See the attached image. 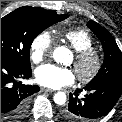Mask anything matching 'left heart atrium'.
<instances>
[{"instance_id":"left-heart-atrium-1","label":"left heart atrium","mask_w":122,"mask_h":122,"mask_svg":"<svg viewBox=\"0 0 122 122\" xmlns=\"http://www.w3.org/2000/svg\"><path fill=\"white\" fill-rule=\"evenodd\" d=\"M36 81L47 88L59 89L71 85L75 81V73L69 68L53 64H44L35 71Z\"/></svg>"}]
</instances>
